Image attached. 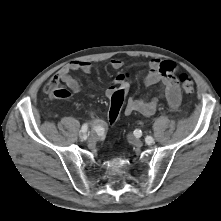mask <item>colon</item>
Instances as JSON below:
<instances>
[{
    "label": "colon",
    "mask_w": 221,
    "mask_h": 221,
    "mask_svg": "<svg viewBox=\"0 0 221 221\" xmlns=\"http://www.w3.org/2000/svg\"><path fill=\"white\" fill-rule=\"evenodd\" d=\"M182 89L186 94L194 93V83L192 79L185 73L179 75ZM44 91L47 95L55 99H65L70 97V92L59 86L58 80L55 78L50 79L45 85ZM126 97L124 88H118L113 91L110 96V108L108 112V121L110 124L116 123L119 118L122 105Z\"/></svg>",
    "instance_id": "obj_1"
}]
</instances>
